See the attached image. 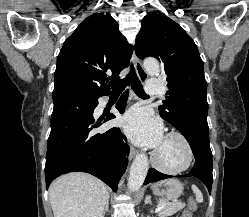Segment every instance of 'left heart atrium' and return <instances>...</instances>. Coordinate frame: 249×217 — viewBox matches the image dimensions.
Instances as JSON below:
<instances>
[{
  "mask_svg": "<svg viewBox=\"0 0 249 217\" xmlns=\"http://www.w3.org/2000/svg\"><path fill=\"white\" fill-rule=\"evenodd\" d=\"M128 137L137 144L158 148L163 142V127L159 120L142 108L129 110L121 121Z\"/></svg>",
  "mask_w": 249,
  "mask_h": 217,
  "instance_id": "left-heart-atrium-1",
  "label": "left heart atrium"
}]
</instances>
